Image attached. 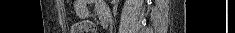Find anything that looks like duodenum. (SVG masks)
<instances>
[{"mask_svg": "<svg viewBox=\"0 0 235 33\" xmlns=\"http://www.w3.org/2000/svg\"><path fill=\"white\" fill-rule=\"evenodd\" d=\"M100 20L103 26H107L109 21L108 15H101Z\"/></svg>", "mask_w": 235, "mask_h": 33, "instance_id": "duodenum-1", "label": "duodenum"}]
</instances>
